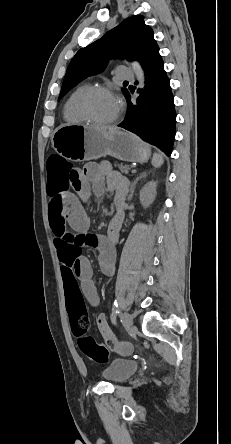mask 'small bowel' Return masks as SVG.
<instances>
[{
    "label": "small bowel",
    "instance_id": "obj_1",
    "mask_svg": "<svg viewBox=\"0 0 231 444\" xmlns=\"http://www.w3.org/2000/svg\"><path fill=\"white\" fill-rule=\"evenodd\" d=\"M72 188L79 197H88L91 190L96 194L115 192L118 211L104 235L88 233L90 219L80 200L69 192ZM62 194V200L53 207L49 204V221L54 242L61 262V274L65 293H78L92 306L98 304V294L92 281V267L82 254V245L93 247L99 252V266L106 275L116 268V244L122 225V201L125 194L123 180L112 173L106 164H88L71 180V186ZM68 226L71 231H68ZM97 327L106 341L116 340L104 314L96 316Z\"/></svg>",
    "mask_w": 231,
    "mask_h": 444
}]
</instances>
